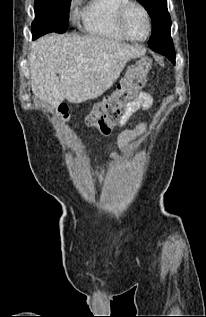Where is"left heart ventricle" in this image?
Wrapping results in <instances>:
<instances>
[{
    "instance_id": "b2bd125f",
    "label": "left heart ventricle",
    "mask_w": 206,
    "mask_h": 317,
    "mask_svg": "<svg viewBox=\"0 0 206 317\" xmlns=\"http://www.w3.org/2000/svg\"><path fill=\"white\" fill-rule=\"evenodd\" d=\"M125 27L128 33L137 39L145 37L147 33V22L143 12L137 8L132 7L125 19Z\"/></svg>"
}]
</instances>
